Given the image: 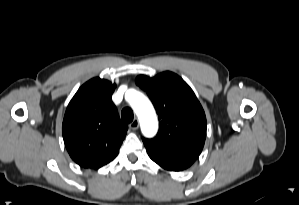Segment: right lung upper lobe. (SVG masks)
<instances>
[{"label": "right lung upper lobe", "mask_w": 299, "mask_h": 205, "mask_svg": "<svg viewBox=\"0 0 299 205\" xmlns=\"http://www.w3.org/2000/svg\"><path fill=\"white\" fill-rule=\"evenodd\" d=\"M115 88L110 81L93 78L79 88L66 109L64 143L81 167L98 169L109 163L125 138L127 126L111 99Z\"/></svg>", "instance_id": "obj_1"}]
</instances>
